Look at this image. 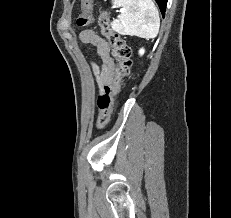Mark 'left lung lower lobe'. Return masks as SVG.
Wrapping results in <instances>:
<instances>
[{
    "mask_svg": "<svg viewBox=\"0 0 231 218\" xmlns=\"http://www.w3.org/2000/svg\"><path fill=\"white\" fill-rule=\"evenodd\" d=\"M155 1L157 2L158 6L161 10L162 15L164 16L168 0H155Z\"/></svg>",
    "mask_w": 231,
    "mask_h": 218,
    "instance_id": "obj_1",
    "label": "left lung lower lobe"
}]
</instances>
